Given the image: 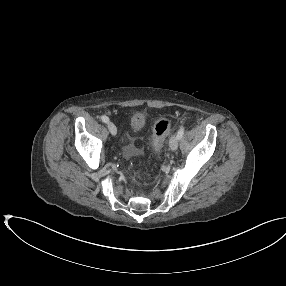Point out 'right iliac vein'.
<instances>
[{"label":"right iliac vein","instance_id":"63e3f726","mask_svg":"<svg viewBox=\"0 0 286 286\" xmlns=\"http://www.w3.org/2000/svg\"><path fill=\"white\" fill-rule=\"evenodd\" d=\"M107 127H108L110 133H111L113 136H115V135L117 134V128H116V126L114 125L113 122L109 121V122L107 123Z\"/></svg>","mask_w":286,"mask_h":286}]
</instances>
